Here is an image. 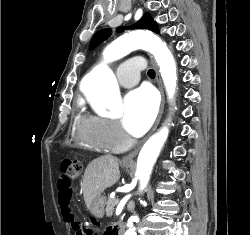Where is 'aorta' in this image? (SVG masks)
I'll use <instances>...</instances> for the list:
<instances>
[{
	"mask_svg": "<svg viewBox=\"0 0 250 235\" xmlns=\"http://www.w3.org/2000/svg\"><path fill=\"white\" fill-rule=\"evenodd\" d=\"M134 49H143L154 55L160 67V73L168 96L172 98L177 82L176 64L166 43L156 35L148 31H134L110 43L105 48L103 57L105 62H112ZM83 91L92 105L107 104L112 110L119 107V86L113 71L106 65L99 66L86 77ZM168 133V128L163 127L147 140L139 153L136 175L140 180V190H143L149 182L153 165L168 137ZM138 221L139 217L137 215L131 216L129 218L131 225H129L124 235H137L133 222Z\"/></svg>",
	"mask_w": 250,
	"mask_h": 235,
	"instance_id": "obj_1",
	"label": "aorta"
}]
</instances>
